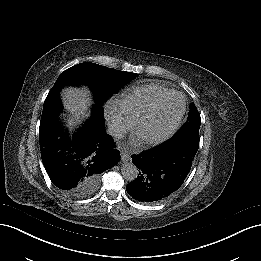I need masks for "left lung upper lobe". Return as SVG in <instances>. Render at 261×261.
<instances>
[{
    "label": "left lung upper lobe",
    "instance_id": "obj_1",
    "mask_svg": "<svg viewBox=\"0 0 261 261\" xmlns=\"http://www.w3.org/2000/svg\"><path fill=\"white\" fill-rule=\"evenodd\" d=\"M201 124L200 115L194 103L190 104L188 119L179 132L175 135L176 138L184 139L192 144L199 146V128Z\"/></svg>",
    "mask_w": 261,
    "mask_h": 261
}]
</instances>
